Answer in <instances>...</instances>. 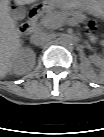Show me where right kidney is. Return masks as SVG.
I'll list each match as a JSON object with an SVG mask.
<instances>
[{
    "label": "right kidney",
    "mask_w": 104,
    "mask_h": 137,
    "mask_svg": "<svg viewBox=\"0 0 104 137\" xmlns=\"http://www.w3.org/2000/svg\"><path fill=\"white\" fill-rule=\"evenodd\" d=\"M35 63V53L29 48L21 49L18 55L12 60L11 69L16 74H24L31 69Z\"/></svg>",
    "instance_id": "ca27d5eb"
}]
</instances>
